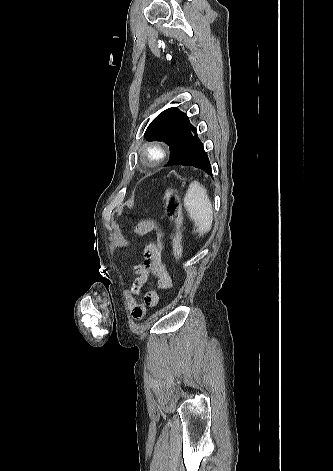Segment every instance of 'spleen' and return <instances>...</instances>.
<instances>
[{"instance_id": "obj_1", "label": "spleen", "mask_w": 333, "mask_h": 471, "mask_svg": "<svg viewBox=\"0 0 333 471\" xmlns=\"http://www.w3.org/2000/svg\"><path fill=\"white\" fill-rule=\"evenodd\" d=\"M184 206L194 221L199 234L210 231L213 222V207L207 190L199 182L190 183L184 197Z\"/></svg>"}]
</instances>
